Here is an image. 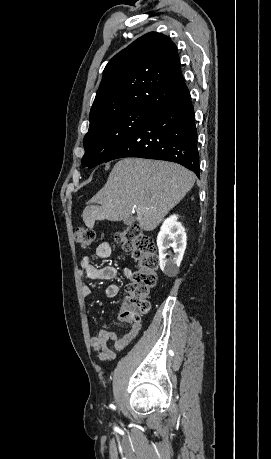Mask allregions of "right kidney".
I'll use <instances>...</instances> for the list:
<instances>
[{
  "label": "right kidney",
  "instance_id": "ca27d5eb",
  "mask_svg": "<svg viewBox=\"0 0 271 459\" xmlns=\"http://www.w3.org/2000/svg\"><path fill=\"white\" fill-rule=\"evenodd\" d=\"M177 220V216L167 218L157 235L159 265L169 277L177 275L187 243L185 228ZM168 247H173L174 253L167 251Z\"/></svg>",
  "mask_w": 271,
  "mask_h": 459
}]
</instances>
